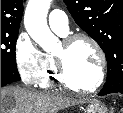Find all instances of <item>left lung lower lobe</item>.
I'll list each match as a JSON object with an SVG mask.
<instances>
[{
    "mask_svg": "<svg viewBox=\"0 0 123 113\" xmlns=\"http://www.w3.org/2000/svg\"><path fill=\"white\" fill-rule=\"evenodd\" d=\"M109 93H122L123 94V91H119V92H108V91L101 90L98 95L99 96H104V95H107Z\"/></svg>",
    "mask_w": 123,
    "mask_h": 113,
    "instance_id": "left-lung-lower-lobe-1",
    "label": "left lung lower lobe"
}]
</instances>
